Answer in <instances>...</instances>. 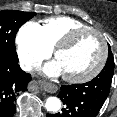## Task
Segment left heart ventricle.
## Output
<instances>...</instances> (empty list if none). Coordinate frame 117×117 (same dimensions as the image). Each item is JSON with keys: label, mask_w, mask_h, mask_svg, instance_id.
Returning <instances> with one entry per match:
<instances>
[{"label": "left heart ventricle", "mask_w": 117, "mask_h": 117, "mask_svg": "<svg viewBox=\"0 0 117 117\" xmlns=\"http://www.w3.org/2000/svg\"><path fill=\"white\" fill-rule=\"evenodd\" d=\"M102 46L93 33L80 35L69 47L61 50L56 60L63 75L79 76L89 72L99 62Z\"/></svg>", "instance_id": "left-heart-ventricle-1"}]
</instances>
